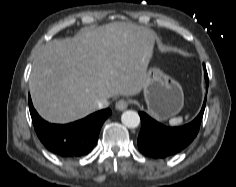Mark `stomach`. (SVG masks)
<instances>
[{"label": "stomach", "mask_w": 236, "mask_h": 187, "mask_svg": "<svg viewBox=\"0 0 236 187\" xmlns=\"http://www.w3.org/2000/svg\"><path fill=\"white\" fill-rule=\"evenodd\" d=\"M143 93L148 111L159 120H167L183 108L181 85L158 68L148 71Z\"/></svg>", "instance_id": "1"}]
</instances>
